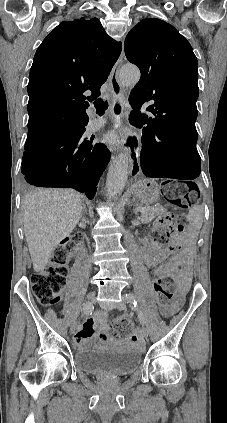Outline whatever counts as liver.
<instances>
[{
    "label": "liver",
    "mask_w": 227,
    "mask_h": 423,
    "mask_svg": "<svg viewBox=\"0 0 227 423\" xmlns=\"http://www.w3.org/2000/svg\"><path fill=\"white\" fill-rule=\"evenodd\" d=\"M23 225L35 271L45 269L62 239L69 237L82 217V200L75 190H34L22 200Z\"/></svg>",
    "instance_id": "1"
}]
</instances>
